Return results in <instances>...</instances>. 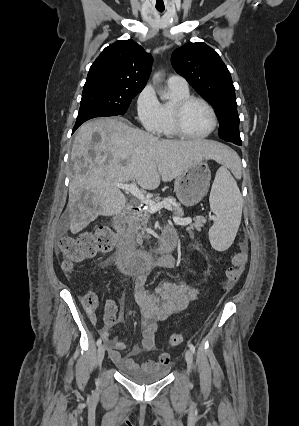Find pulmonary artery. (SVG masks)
Masks as SVG:
<instances>
[{
    "instance_id": "obj_1",
    "label": "pulmonary artery",
    "mask_w": 299,
    "mask_h": 426,
    "mask_svg": "<svg viewBox=\"0 0 299 426\" xmlns=\"http://www.w3.org/2000/svg\"><path fill=\"white\" fill-rule=\"evenodd\" d=\"M168 86L175 87L178 89H188L187 81L179 75H171L167 79Z\"/></svg>"
}]
</instances>
